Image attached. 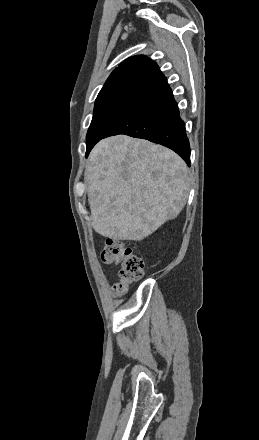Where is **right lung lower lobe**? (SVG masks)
Wrapping results in <instances>:
<instances>
[{
	"mask_svg": "<svg viewBox=\"0 0 259 440\" xmlns=\"http://www.w3.org/2000/svg\"><path fill=\"white\" fill-rule=\"evenodd\" d=\"M117 134L143 138L166 146L190 166V145L185 124L165 77L104 136L87 144L86 157L99 140Z\"/></svg>",
	"mask_w": 259,
	"mask_h": 440,
	"instance_id": "98d812e1",
	"label": "right lung lower lobe"
}]
</instances>
